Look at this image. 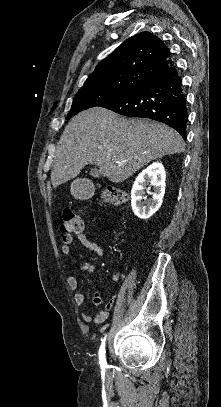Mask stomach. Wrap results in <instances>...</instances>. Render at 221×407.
Returning a JSON list of instances; mask_svg holds the SVG:
<instances>
[{"label": "stomach", "instance_id": "stomach-1", "mask_svg": "<svg viewBox=\"0 0 221 407\" xmlns=\"http://www.w3.org/2000/svg\"><path fill=\"white\" fill-rule=\"evenodd\" d=\"M71 192L77 198H83L85 196V190H84L83 186L81 185L80 180H75L71 184Z\"/></svg>", "mask_w": 221, "mask_h": 407}]
</instances>
